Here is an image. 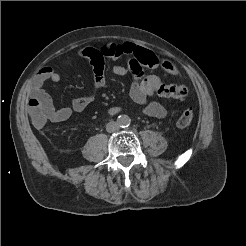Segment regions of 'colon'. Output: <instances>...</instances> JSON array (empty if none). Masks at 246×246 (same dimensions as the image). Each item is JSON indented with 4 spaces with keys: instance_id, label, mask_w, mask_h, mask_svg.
<instances>
[{
    "instance_id": "obj_1",
    "label": "colon",
    "mask_w": 246,
    "mask_h": 246,
    "mask_svg": "<svg viewBox=\"0 0 246 246\" xmlns=\"http://www.w3.org/2000/svg\"><path fill=\"white\" fill-rule=\"evenodd\" d=\"M133 61L143 69L161 67L165 72L172 75H179L176 66L166 60L157 57L152 51L136 47L133 52ZM160 97L183 98L187 95V88L184 84L162 83L156 89ZM29 115L36 126H43L48 120L52 107L49 102L39 98L31 97L28 102ZM193 112L190 109L184 110L177 119V125L181 128L189 126L193 121Z\"/></svg>"
}]
</instances>
